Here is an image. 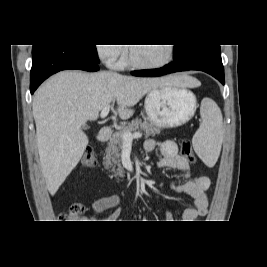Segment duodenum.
<instances>
[{"mask_svg":"<svg viewBox=\"0 0 267 267\" xmlns=\"http://www.w3.org/2000/svg\"><path fill=\"white\" fill-rule=\"evenodd\" d=\"M111 130L109 128H102L98 131L97 139L99 142H106L111 137Z\"/></svg>","mask_w":267,"mask_h":267,"instance_id":"obj_1","label":"duodenum"}]
</instances>
